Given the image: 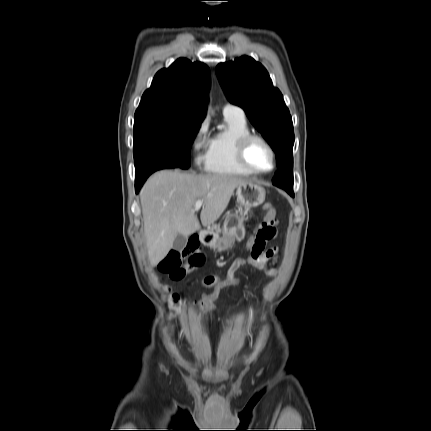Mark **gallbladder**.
I'll return each mask as SVG.
<instances>
[{"mask_svg": "<svg viewBox=\"0 0 431 431\" xmlns=\"http://www.w3.org/2000/svg\"><path fill=\"white\" fill-rule=\"evenodd\" d=\"M186 244L187 237L182 234H178L174 240L173 249L180 252L185 248Z\"/></svg>", "mask_w": 431, "mask_h": 431, "instance_id": "obj_1", "label": "gallbladder"}]
</instances>
